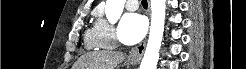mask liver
I'll return each mask as SVG.
<instances>
[{
  "label": "liver",
  "instance_id": "liver-1",
  "mask_svg": "<svg viewBox=\"0 0 246 69\" xmlns=\"http://www.w3.org/2000/svg\"><path fill=\"white\" fill-rule=\"evenodd\" d=\"M125 60V55L115 51H100L80 57L76 69H114Z\"/></svg>",
  "mask_w": 246,
  "mask_h": 69
}]
</instances>
